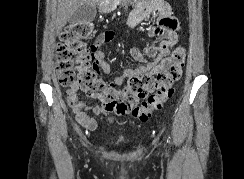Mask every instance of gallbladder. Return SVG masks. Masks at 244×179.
I'll use <instances>...</instances> for the list:
<instances>
[{
  "label": "gallbladder",
  "mask_w": 244,
  "mask_h": 179,
  "mask_svg": "<svg viewBox=\"0 0 244 179\" xmlns=\"http://www.w3.org/2000/svg\"><path fill=\"white\" fill-rule=\"evenodd\" d=\"M96 16V8L94 6H89V4H84L76 10L72 18H70V24H87V22H93Z\"/></svg>",
  "instance_id": "obj_1"
}]
</instances>
